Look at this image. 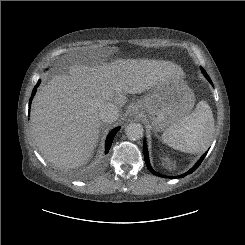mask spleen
I'll return each instance as SVG.
<instances>
[{"mask_svg":"<svg viewBox=\"0 0 245 245\" xmlns=\"http://www.w3.org/2000/svg\"><path fill=\"white\" fill-rule=\"evenodd\" d=\"M214 131L212 110L206 101H200L192 114L164 131L162 140L182 152L202 153L210 146Z\"/></svg>","mask_w":245,"mask_h":245,"instance_id":"spleen-1","label":"spleen"}]
</instances>
